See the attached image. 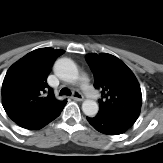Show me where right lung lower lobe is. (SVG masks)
Returning <instances> with one entry per match:
<instances>
[{"label":"right lung lower lobe","mask_w":163,"mask_h":163,"mask_svg":"<svg viewBox=\"0 0 163 163\" xmlns=\"http://www.w3.org/2000/svg\"><path fill=\"white\" fill-rule=\"evenodd\" d=\"M62 110L63 107L50 113L22 115L12 120L23 128L36 130L43 128L48 123L56 119L60 115Z\"/></svg>","instance_id":"1"}]
</instances>
